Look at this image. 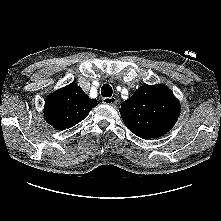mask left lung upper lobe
Instances as JSON below:
<instances>
[{"label": "left lung upper lobe", "instance_id": "obj_1", "mask_svg": "<svg viewBox=\"0 0 221 221\" xmlns=\"http://www.w3.org/2000/svg\"><path fill=\"white\" fill-rule=\"evenodd\" d=\"M127 128L142 139L159 138L176 123L180 104L163 85H143L119 109Z\"/></svg>", "mask_w": 221, "mask_h": 221}]
</instances>
